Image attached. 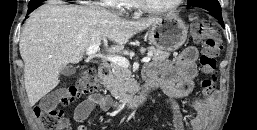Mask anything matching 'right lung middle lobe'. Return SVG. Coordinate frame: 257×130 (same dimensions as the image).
<instances>
[{"instance_id":"obj_1","label":"right lung middle lobe","mask_w":257,"mask_h":130,"mask_svg":"<svg viewBox=\"0 0 257 130\" xmlns=\"http://www.w3.org/2000/svg\"><path fill=\"white\" fill-rule=\"evenodd\" d=\"M40 5H41V1H39V0H31L29 5H28V8L36 9Z\"/></svg>"}]
</instances>
